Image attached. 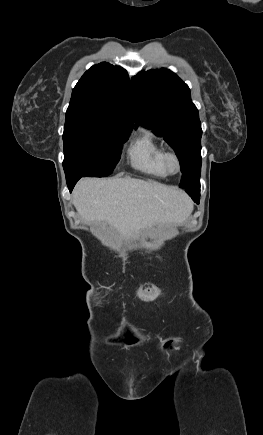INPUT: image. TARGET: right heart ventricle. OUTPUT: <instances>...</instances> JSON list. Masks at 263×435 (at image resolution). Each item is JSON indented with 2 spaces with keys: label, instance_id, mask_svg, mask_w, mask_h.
<instances>
[{
  "label": "right heart ventricle",
  "instance_id": "right-heart-ventricle-1",
  "mask_svg": "<svg viewBox=\"0 0 263 435\" xmlns=\"http://www.w3.org/2000/svg\"><path fill=\"white\" fill-rule=\"evenodd\" d=\"M164 148L149 129H144L130 144L128 157L131 166L147 175L164 178L168 175L163 165Z\"/></svg>",
  "mask_w": 263,
  "mask_h": 435
}]
</instances>
